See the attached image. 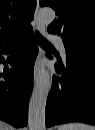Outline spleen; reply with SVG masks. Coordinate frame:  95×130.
I'll return each instance as SVG.
<instances>
[{"instance_id":"obj_1","label":"spleen","mask_w":95,"mask_h":130,"mask_svg":"<svg viewBox=\"0 0 95 130\" xmlns=\"http://www.w3.org/2000/svg\"><path fill=\"white\" fill-rule=\"evenodd\" d=\"M95 128L88 124L83 123H68L59 126L58 130H94Z\"/></svg>"}]
</instances>
